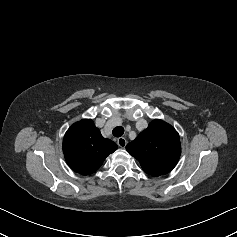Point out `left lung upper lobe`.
<instances>
[{"label":"left lung upper lobe","mask_w":237,"mask_h":237,"mask_svg":"<svg viewBox=\"0 0 237 237\" xmlns=\"http://www.w3.org/2000/svg\"><path fill=\"white\" fill-rule=\"evenodd\" d=\"M126 150L140 162L142 169L149 175H164L169 173L179 160V134L171 125L155 119L126 146Z\"/></svg>","instance_id":"left-lung-upper-lobe-1"}]
</instances>
